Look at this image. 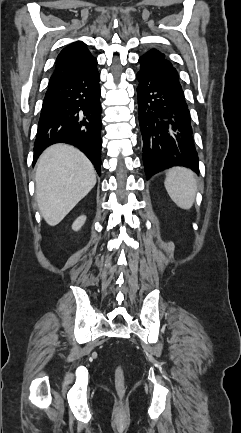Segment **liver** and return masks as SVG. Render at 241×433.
Masks as SVG:
<instances>
[{"label": "liver", "instance_id": "1", "mask_svg": "<svg viewBox=\"0 0 241 433\" xmlns=\"http://www.w3.org/2000/svg\"><path fill=\"white\" fill-rule=\"evenodd\" d=\"M36 199L50 226H56L95 186L96 173L89 159L66 144L47 148L36 164Z\"/></svg>", "mask_w": 241, "mask_h": 433}]
</instances>
